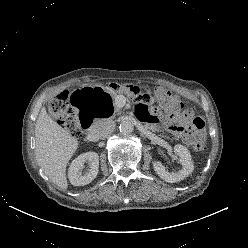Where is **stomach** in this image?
Masks as SVG:
<instances>
[{
  "label": "stomach",
  "mask_w": 248,
  "mask_h": 248,
  "mask_svg": "<svg viewBox=\"0 0 248 248\" xmlns=\"http://www.w3.org/2000/svg\"><path fill=\"white\" fill-rule=\"evenodd\" d=\"M69 102L79 115H92L101 121L111 119L117 110L111 91L102 85L75 88L70 94Z\"/></svg>",
  "instance_id": "stomach-1"
}]
</instances>
